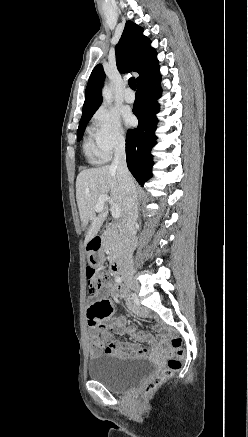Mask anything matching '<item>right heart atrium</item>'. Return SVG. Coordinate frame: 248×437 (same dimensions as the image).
<instances>
[{"label": "right heart atrium", "instance_id": "right-heart-atrium-1", "mask_svg": "<svg viewBox=\"0 0 248 437\" xmlns=\"http://www.w3.org/2000/svg\"><path fill=\"white\" fill-rule=\"evenodd\" d=\"M90 137L103 159H108L115 150L122 148L126 142L119 116L107 108L98 109L92 116Z\"/></svg>", "mask_w": 248, "mask_h": 437}]
</instances>
